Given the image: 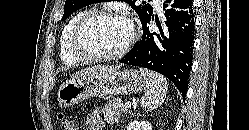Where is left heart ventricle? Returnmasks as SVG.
Segmentation results:
<instances>
[{
    "label": "left heart ventricle",
    "instance_id": "obj_1",
    "mask_svg": "<svg viewBox=\"0 0 249 130\" xmlns=\"http://www.w3.org/2000/svg\"><path fill=\"white\" fill-rule=\"evenodd\" d=\"M131 35L130 22L121 16H101L90 21L81 36L82 47L95 54H111Z\"/></svg>",
    "mask_w": 249,
    "mask_h": 130
}]
</instances>
